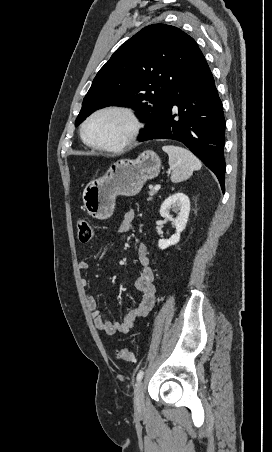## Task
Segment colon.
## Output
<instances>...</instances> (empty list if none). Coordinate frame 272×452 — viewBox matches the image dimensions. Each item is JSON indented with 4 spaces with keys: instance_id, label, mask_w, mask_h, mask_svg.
<instances>
[{
    "instance_id": "1",
    "label": "colon",
    "mask_w": 272,
    "mask_h": 452,
    "mask_svg": "<svg viewBox=\"0 0 272 452\" xmlns=\"http://www.w3.org/2000/svg\"><path fill=\"white\" fill-rule=\"evenodd\" d=\"M77 229L80 242L88 243L93 239L94 230L92 225L87 220H79L77 222ZM116 358L125 362H132L134 356L131 350L123 348L116 352Z\"/></svg>"
}]
</instances>
